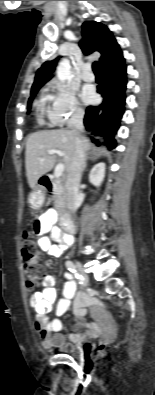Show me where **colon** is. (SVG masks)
<instances>
[{
  "instance_id": "obj_1",
  "label": "colon",
  "mask_w": 155,
  "mask_h": 395,
  "mask_svg": "<svg viewBox=\"0 0 155 395\" xmlns=\"http://www.w3.org/2000/svg\"><path fill=\"white\" fill-rule=\"evenodd\" d=\"M22 256L24 261V277L29 290H34L38 286L40 278L43 276L41 265V253L35 240L27 237L22 245ZM105 344L101 345L103 348Z\"/></svg>"
}]
</instances>
